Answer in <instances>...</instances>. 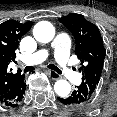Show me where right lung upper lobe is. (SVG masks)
Instances as JSON below:
<instances>
[{
    "mask_svg": "<svg viewBox=\"0 0 117 117\" xmlns=\"http://www.w3.org/2000/svg\"><path fill=\"white\" fill-rule=\"evenodd\" d=\"M31 25L32 22L22 24L15 20L0 24V99L7 94L16 80L24 76L20 72L11 73L8 65L15 61L19 41L29 31Z\"/></svg>",
    "mask_w": 117,
    "mask_h": 117,
    "instance_id": "obj_1",
    "label": "right lung upper lobe"
}]
</instances>
